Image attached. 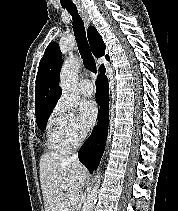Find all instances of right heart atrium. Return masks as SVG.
I'll return each mask as SVG.
<instances>
[{
	"label": "right heart atrium",
	"mask_w": 178,
	"mask_h": 211,
	"mask_svg": "<svg viewBox=\"0 0 178 211\" xmlns=\"http://www.w3.org/2000/svg\"><path fill=\"white\" fill-rule=\"evenodd\" d=\"M53 122L58 134L68 148L80 145L86 138V130L77 117L62 104H58L54 111Z\"/></svg>",
	"instance_id": "d8ad5b80"
}]
</instances>
